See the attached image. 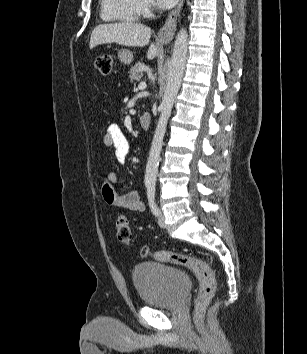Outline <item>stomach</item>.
Segmentation results:
<instances>
[{
  "label": "stomach",
  "mask_w": 307,
  "mask_h": 354,
  "mask_svg": "<svg viewBox=\"0 0 307 354\" xmlns=\"http://www.w3.org/2000/svg\"><path fill=\"white\" fill-rule=\"evenodd\" d=\"M118 59L122 64L129 65L133 61V53L127 49H121L118 51Z\"/></svg>",
  "instance_id": "obj_1"
}]
</instances>
